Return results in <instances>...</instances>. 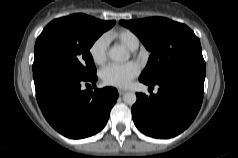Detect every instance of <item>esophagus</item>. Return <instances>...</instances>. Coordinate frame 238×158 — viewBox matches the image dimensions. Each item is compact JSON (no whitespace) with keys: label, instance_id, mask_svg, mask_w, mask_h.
I'll list each match as a JSON object with an SVG mask.
<instances>
[{"label":"esophagus","instance_id":"obj_1","mask_svg":"<svg viewBox=\"0 0 238 158\" xmlns=\"http://www.w3.org/2000/svg\"><path fill=\"white\" fill-rule=\"evenodd\" d=\"M118 93H119V95H123V94L126 93V90L119 89V90H118Z\"/></svg>","mask_w":238,"mask_h":158}]
</instances>
